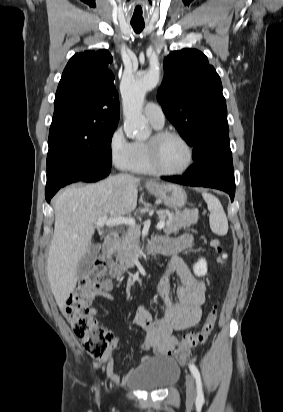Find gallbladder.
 <instances>
[{
    "mask_svg": "<svg viewBox=\"0 0 283 412\" xmlns=\"http://www.w3.org/2000/svg\"><path fill=\"white\" fill-rule=\"evenodd\" d=\"M99 249V245H93L90 248V250L85 254V256L80 260L77 267V276L79 279L83 278L84 275L90 270L98 254Z\"/></svg>",
    "mask_w": 283,
    "mask_h": 412,
    "instance_id": "1",
    "label": "gallbladder"
}]
</instances>
